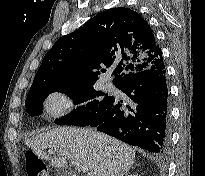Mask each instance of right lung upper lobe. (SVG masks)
Returning a JSON list of instances; mask_svg holds the SVG:
<instances>
[{
  "label": "right lung upper lobe",
  "instance_id": "cb5924a9",
  "mask_svg": "<svg viewBox=\"0 0 205 176\" xmlns=\"http://www.w3.org/2000/svg\"><path fill=\"white\" fill-rule=\"evenodd\" d=\"M163 56L149 24L135 11L112 8L59 38L46 53L29 92L48 85L94 84L102 67L115 66L114 84Z\"/></svg>",
  "mask_w": 205,
  "mask_h": 176
}]
</instances>
